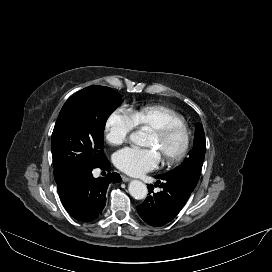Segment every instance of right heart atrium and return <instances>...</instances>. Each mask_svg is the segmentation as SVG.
Segmentation results:
<instances>
[{"mask_svg":"<svg viewBox=\"0 0 272 272\" xmlns=\"http://www.w3.org/2000/svg\"><path fill=\"white\" fill-rule=\"evenodd\" d=\"M135 125L131 113L123 108H117L110 113L104 124V139L112 145L123 144Z\"/></svg>","mask_w":272,"mask_h":272,"instance_id":"obj_1","label":"right heart atrium"}]
</instances>
